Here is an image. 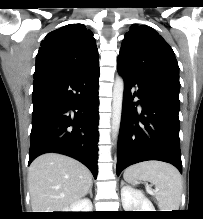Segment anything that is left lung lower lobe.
<instances>
[{"label": "left lung lower lobe", "mask_w": 203, "mask_h": 219, "mask_svg": "<svg viewBox=\"0 0 203 219\" xmlns=\"http://www.w3.org/2000/svg\"><path fill=\"white\" fill-rule=\"evenodd\" d=\"M117 69L124 78L117 175L126 167L147 160L168 162L182 173L179 88L140 77L119 65ZM135 85L138 90L132 94ZM134 97L140 100L134 103ZM138 104L141 112L137 110Z\"/></svg>", "instance_id": "left-lung-lower-lobe-1"}]
</instances>
